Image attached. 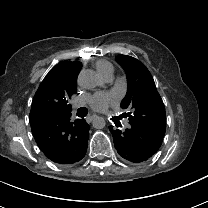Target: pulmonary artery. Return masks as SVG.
I'll list each match as a JSON object with an SVG mask.
<instances>
[{
  "label": "pulmonary artery",
  "instance_id": "e3ab8cb5",
  "mask_svg": "<svg viewBox=\"0 0 208 208\" xmlns=\"http://www.w3.org/2000/svg\"><path fill=\"white\" fill-rule=\"evenodd\" d=\"M112 79V73L104 77V81H110Z\"/></svg>",
  "mask_w": 208,
  "mask_h": 208
}]
</instances>
